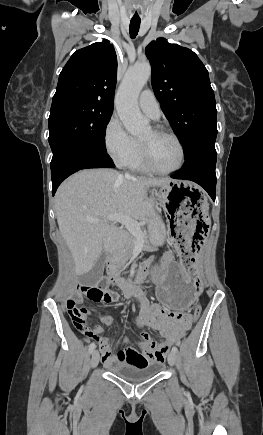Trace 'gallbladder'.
I'll return each mask as SVG.
<instances>
[{"label": "gallbladder", "mask_w": 263, "mask_h": 435, "mask_svg": "<svg viewBox=\"0 0 263 435\" xmlns=\"http://www.w3.org/2000/svg\"><path fill=\"white\" fill-rule=\"evenodd\" d=\"M106 263V255L103 254L95 266L86 274L81 276V283L86 286H94L98 283L103 275L104 267Z\"/></svg>", "instance_id": "1"}]
</instances>
